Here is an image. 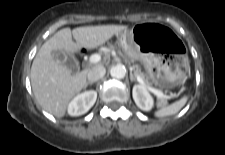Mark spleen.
Listing matches in <instances>:
<instances>
[{
    "mask_svg": "<svg viewBox=\"0 0 225 155\" xmlns=\"http://www.w3.org/2000/svg\"><path fill=\"white\" fill-rule=\"evenodd\" d=\"M188 98L187 97H183L180 100L170 104V105H162L160 109H158L155 112V116L158 118H163L166 116H170V115H174L177 112H179L181 110V108H183V106L186 104Z\"/></svg>",
    "mask_w": 225,
    "mask_h": 155,
    "instance_id": "1",
    "label": "spleen"
}]
</instances>
